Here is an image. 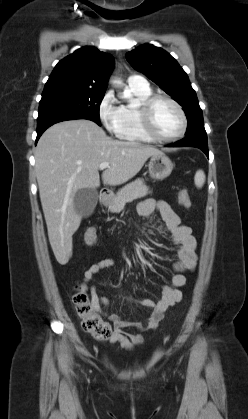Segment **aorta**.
I'll return each mask as SVG.
<instances>
[{
	"mask_svg": "<svg viewBox=\"0 0 248 419\" xmlns=\"http://www.w3.org/2000/svg\"><path fill=\"white\" fill-rule=\"evenodd\" d=\"M112 82H113V84H116V83H117V81H116V80H113Z\"/></svg>",
	"mask_w": 248,
	"mask_h": 419,
	"instance_id": "obj_1",
	"label": "aorta"
}]
</instances>
